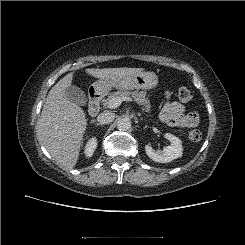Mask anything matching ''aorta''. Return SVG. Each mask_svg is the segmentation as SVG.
I'll list each match as a JSON object with an SVG mask.
<instances>
[{
  "label": "aorta",
  "instance_id": "1",
  "mask_svg": "<svg viewBox=\"0 0 245 245\" xmlns=\"http://www.w3.org/2000/svg\"><path fill=\"white\" fill-rule=\"evenodd\" d=\"M117 128L120 131H127L131 128V121L129 118H120L117 121Z\"/></svg>",
  "mask_w": 245,
  "mask_h": 245
}]
</instances>
